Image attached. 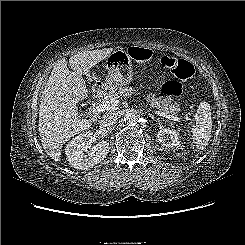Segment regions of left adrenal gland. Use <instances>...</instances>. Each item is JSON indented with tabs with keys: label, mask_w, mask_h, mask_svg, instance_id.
<instances>
[{
	"label": "left adrenal gland",
	"mask_w": 245,
	"mask_h": 245,
	"mask_svg": "<svg viewBox=\"0 0 245 245\" xmlns=\"http://www.w3.org/2000/svg\"><path fill=\"white\" fill-rule=\"evenodd\" d=\"M148 116H149L151 119H153L154 121H156V118H155L153 115L149 114Z\"/></svg>",
	"instance_id": "obj_1"
}]
</instances>
